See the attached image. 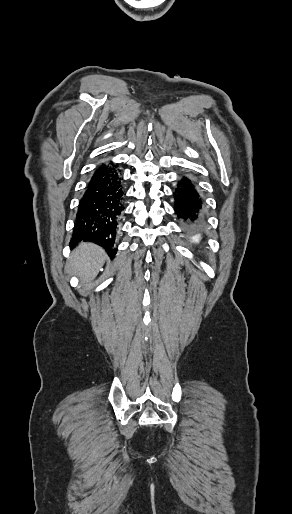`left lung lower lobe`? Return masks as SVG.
Segmentation results:
<instances>
[{
	"label": "left lung lower lobe",
	"instance_id": "1",
	"mask_svg": "<svg viewBox=\"0 0 292 514\" xmlns=\"http://www.w3.org/2000/svg\"><path fill=\"white\" fill-rule=\"evenodd\" d=\"M174 210L188 235L195 238L205 223L204 202L196 184L190 178L182 176L173 193Z\"/></svg>",
	"mask_w": 292,
	"mask_h": 514
}]
</instances>
